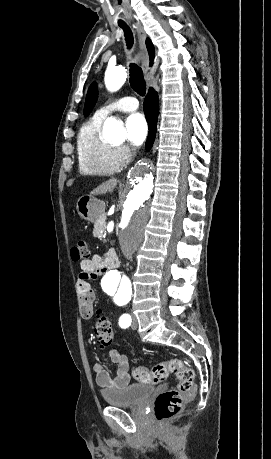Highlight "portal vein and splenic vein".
<instances>
[{
  "mask_svg": "<svg viewBox=\"0 0 271 459\" xmlns=\"http://www.w3.org/2000/svg\"><path fill=\"white\" fill-rule=\"evenodd\" d=\"M106 227H107L106 225L103 226L104 229H105Z\"/></svg>",
  "mask_w": 271,
  "mask_h": 459,
  "instance_id": "18ae733b",
  "label": "portal vein and splenic vein"
}]
</instances>
